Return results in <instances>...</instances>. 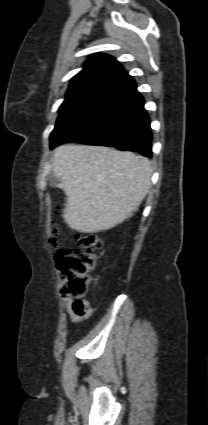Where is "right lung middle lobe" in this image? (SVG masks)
<instances>
[{"label":"right lung middle lobe","instance_id":"obj_1","mask_svg":"<svg viewBox=\"0 0 208 425\" xmlns=\"http://www.w3.org/2000/svg\"><path fill=\"white\" fill-rule=\"evenodd\" d=\"M99 93L100 92L89 91V92L75 93V94L67 96L59 108V116L57 119L56 126H60L61 124H63V122L65 121V117L69 113L83 106L90 100L96 98L99 95ZM55 142L56 140L52 136H50V146L55 144Z\"/></svg>","mask_w":208,"mask_h":425}]
</instances>
